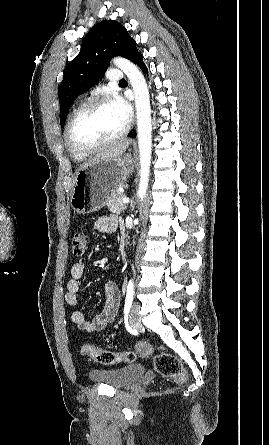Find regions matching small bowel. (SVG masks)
I'll list each match as a JSON object with an SVG mask.
<instances>
[{"mask_svg":"<svg viewBox=\"0 0 269 445\" xmlns=\"http://www.w3.org/2000/svg\"><path fill=\"white\" fill-rule=\"evenodd\" d=\"M95 228L101 233L114 234L118 231V220L113 216H102L97 219ZM84 273L85 266L81 262L75 263L71 268V278L64 295L66 303L70 306L79 305L80 281ZM105 292L107 296L105 306L92 320L87 319L80 310L72 312L71 320L79 329L86 332L99 331L115 320L121 298L119 288L116 283L109 281L105 284Z\"/></svg>","mask_w":269,"mask_h":445,"instance_id":"c3829d8e","label":"small bowel"}]
</instances>
